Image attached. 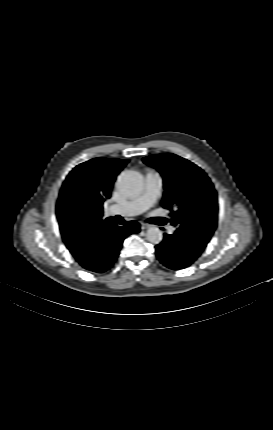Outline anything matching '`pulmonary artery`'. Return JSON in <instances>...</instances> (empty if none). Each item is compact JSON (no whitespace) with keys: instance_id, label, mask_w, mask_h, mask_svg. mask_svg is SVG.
I'll return each instance as SVG.
<instances>
[{"instance_id":"obj_1","label":"pulmonary artery","mask_w":273,"mask_h":430,"mask_svg":"<svg viewBox=\"0 0 273 430\" xmlns=\"http://www.w3.org/2000/svg\"><path fill=\"white\" fill-rule=\"evenodd\" d=\"M162 185V176L158 172H148L146 174L145 188L142 194L132 200L111 205L108 208V213L110 215L118 214L122 216H135L143 213L160 197ZM174 230L175 228L171 226L168 231L169 233H173Z\"/></svg>"}]
</instances>
